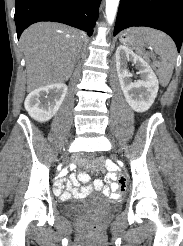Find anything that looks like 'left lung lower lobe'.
Masks as SVG:
<instances>
[{
    "label": "left lung lower lobe",
    "instance_id": "obj_1",
    "mask_svg": "<svg viewBox=\"0 0 183 246\" xmlns=\"http://www.w3.org/2000/svg\"><path fill=\"white\" fill-rule=\"evenodd\" d=\"M133 26L167 33L179 52L183 41V0H120L113 35Z\"/></svg>",
    "mask_w": 183,
    "mask_h": 246
}]
</instances>
